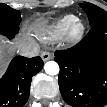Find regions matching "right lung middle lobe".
I'll return each mask as SVG.
<instances>
[{
	"label": "right lung middle lobe",
	"mask_w": 107,
	"mask_h": 107,
	"mask_svg": "<svg viewBox=\"0 0 107 107\" xmlns=\"http://www.w3.org/2000/svg\"><path fill=\"white\" fill-rule=\"evenodd\" d=\"M21 21L20 11L12 9L6 4H0V33H14L19 30V23Z\"/></svg>",
	"instance_id": "dd1d6c3e"
}]
</instances>
